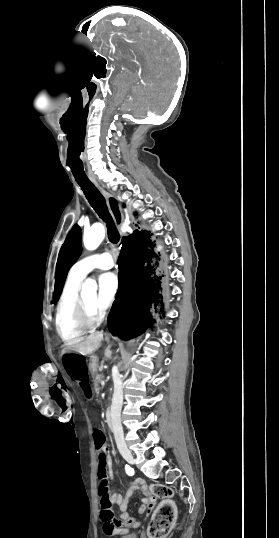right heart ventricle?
Listing matches in <instances>:
<instances>
[{"label": "right heart ventricle", "mask_w": 279, "mask_h": 538, "mask_svg": "<svg viewBox=\"0 0 279 538\" xmlns=\"http://www.w3.org/2000/svg\"><path fill=\"white\" fill-rule=\"evenodd\" d=\"M108 232L105 220L99 217L97 221L84 230V241L86 242L92 235L103 237ZM86 277V276H85ZM84 276L68 274L67 281L60 296L56 308V329L62 340L68 342L77 339L87 332V328L75 327L70 321V312L72 307L78 301L81 295V287L85 280Z\"/></svg>", "instance_id": "e07e8e85"}]
</instances>
